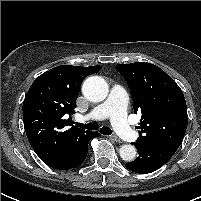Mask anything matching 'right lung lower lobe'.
Masks as SVG:
<instances>
[{"label": "right lung lower lobe", "instance_id": "right-lung-lower-lobe-1", "mask_svg": "<svg viewBox=\"0 0 201 201\" xmlns=\"http://www.w3.org/2000/svg\"><path fill=\"white\" fill-rule=\"evenodd\" d=\"M97 132L87 131L77 142L74 150L64 159L48 164V166L58 169V170H68L71 168L79 167L85 160L87 156V146L89 141L98 137Z\"/></svg>", "mask_w": 201, "mask_h": 201}]
</instances>
